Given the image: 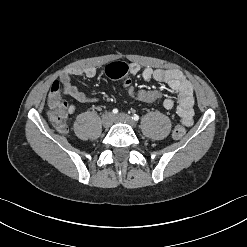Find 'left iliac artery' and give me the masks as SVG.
<instances>
[{"mask_svg": "<svg viewBox=\"0 0 247 247\" xmlns=\"http://www.w3.org/2000/svg\"><path fill=\"white\" fill-rule=\"evenodd\" d=\"M132 119H133L134 121H138V120H139V116H138L137 114H133V115H132Z\"/></svg>", "mask_w": 247, "mask_h": 247, "instance_id": "obj_1", "label": "left iliac artery"}]
</instances>
